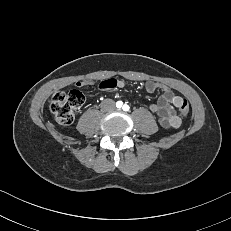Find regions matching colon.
<instances>
[{
	"label": "colon",
	"instance_id": "5ec220e1",
	"mask_svg": "<svg viewBox=\"0 0 231 231\" xmlns=\"http://www.w3.org/2000/svg\"><path fill=\"white\" fill-rule=\"evenodd\" d=\"M84 101L83 93L77 89H72L68 92H56L50 102V111L59 124L69 125L73 122L75 113L82 107ZM189 110L187 100L183 99L179 106V111L186 116Z\"/></svg>",
	"mask_w": 231,
	"mask_h": 231
}]
</instances>
